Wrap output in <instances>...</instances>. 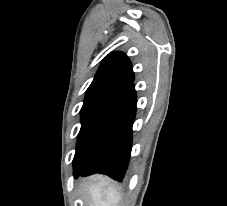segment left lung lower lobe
Returning <instances> with one entry per match:
<instances>
[{"mask_svg":"<svg viewBox=\"0 0 227 206\" xmlns=\"http://www.w3.org/2000/svg\"><path fill=\"white\" fill-rule=\"evenodd\" d=\"M136 102V91L131 82L102 114L88 153L74 166L75 178L98 172L118 181L123 179L131 153Z\"/></svg>","mask_w":227,"mask_h":206,"instance_id":"obj_1","label":"left lung lower lobe"}]
</instances>
